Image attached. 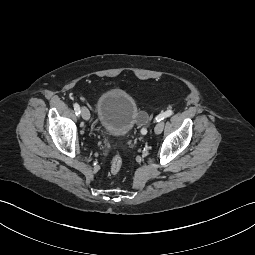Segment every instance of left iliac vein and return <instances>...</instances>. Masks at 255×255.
<instances>
[{
  "mask_svg": "<svg viewBox=\"0 0 255 255\" xmlns=\"http://www.w3.org/2000/svg\"><path fill=\"white\" fill-rule=\"evenodd\" d=\"M163 128H164V123L160 122V123L156 124L154 131L156 134H160L162 132Z\"/></svg>",
  "mask_w": 255,
  "mask_h": 255,
  "instance_id": "obj_1",
  "label": "left iliac vein"
}]
</instances>
